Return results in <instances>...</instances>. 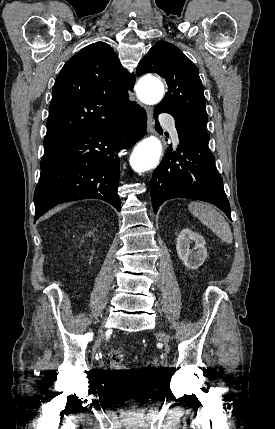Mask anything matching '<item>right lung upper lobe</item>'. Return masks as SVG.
Wrapping results in <instances>:
<instances>
[{
	"label": "right lung upper lobe",
	"instance_id": "1",
	"mask_svg": "<svg viewBox=\"0 0 275 429\" xmlns=\"http://www.w3.org/2000/svg\"><path fill=\"white\" fill-rule=\"evenodd\" d=\"M134 80L107 43L79 51L56 78L44 146L121 119L135 104L128 94Z\"/></svg>",
	"mask_w": 275,
	"mask_h": 429
}]
</instances>
